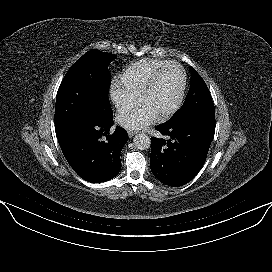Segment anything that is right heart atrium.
Masks as SVG:
<instances>
[{"instance_id": "d8ad5b80", "label": "right heart atrium", "mask_w": 272, "mask_h": 272, "mask_svg": "<svg viewBox=\"0 0 272 272\" xmlns=\"http://www.w3.org/2000/svg\"><path fill=\"white\" fill-rule=\"evenodd\" d=\"M110 97L114 106L120 112L133 107L139 99L137 93L125 87L119 80H116L111 84Z\"/></svg>"}]
</instances>
